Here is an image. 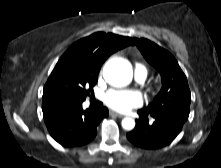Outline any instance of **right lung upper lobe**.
Masks as SVG:
<instances>
[{
    "label": "right lung upper lobe",
    "instance_id": "obj_1",
    "mask_svg": "<svg viewBox=\"0 0 221 168\" xmlns=\"http://www.w3.org/2000/svg\"><path fill=\"white\" fill-rule=\"evenodd\" d=\"M133 43L129 37L97 32L75 42L61 58L87 61L101 68L112 53Z\"/></svg>",
    "mask_w": 221,
    "mask_h": 168
}]
</instances>
